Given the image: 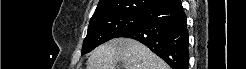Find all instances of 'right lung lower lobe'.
I'll return each mask as SVG.
<instances>
[{
	"instance_id": "98d812e1",
	"label": "right lung lower lobe",
	"mask_w": 246,
	"mask_h": 69,
	"mask_svg": "<svg viewBox=\"0 0 246 69\" xmlns=\"http://www.w3.org/2000/svg\"><path fill=\"white\" fill-rule=\"evenodd\" d=\"M119 37L143 43L173 69H188V31L180 0H168L143 12L141 22Z\"/></svg>"
}]
</instances>
